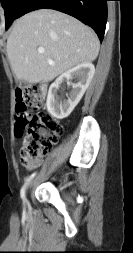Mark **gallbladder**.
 <instances>
[{
    "label": "gallbladder",
    "instance_id": "bac80fb5",
    "mask_svg": "<svg viewBox=\"0 0 133 253\" xmlns=\"http://www.w3.org/2000/svg\"><path fill=\"white\" fill-rule=\"evenodd\" d=\"M20 85L25 86V85H27V82H25V81H20Z\"/></svg>",
    "mask_w": 133,
    "mask_h": 253
}]
</instances>
